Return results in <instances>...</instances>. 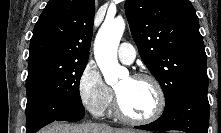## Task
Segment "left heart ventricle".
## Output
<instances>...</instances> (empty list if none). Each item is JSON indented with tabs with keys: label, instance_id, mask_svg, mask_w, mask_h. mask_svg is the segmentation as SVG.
Listing matches in <instances>:
<instances>
[{
	"label": "left heart ventricle",
	"instance_id": "b2bd125f",
	"mask_svg": "<svg viewBox=\"0 0 221 133\" xmlns=\"http://www.w3.org/2000/svg\"><path fill=\"white\" fill-rule=\"evenodd\" d=\"M119 95L123 111L135 118L151 115L157 104L153 85L145 80H133L125 77L115 88Z\"/></svg>",
	"mask_w": 221,
	"mask_h": 133
}]
</instances>
